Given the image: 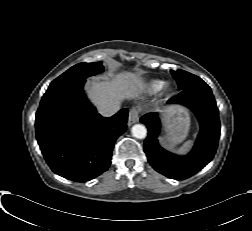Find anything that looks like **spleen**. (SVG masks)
Returning <instances> with one entry per match:
<instances>
[{"label":"spleen","mask_w":252,"mask_h":231,"mask_svg":"<svg viewBox=\"0 0 252 231\" xmlns=\"http://www.w3.org/2000/svg\"><path fill=\"white\" fill-rule=\"evenodd\" d=\"M192 145V141L189 140L187 141L179 150H178V153L180 154H183L185 152H187L189 150V148L191 147Z\"/></svg>","instance_id":"spleen-1"}]
</instances>
